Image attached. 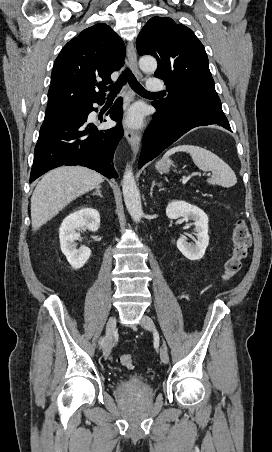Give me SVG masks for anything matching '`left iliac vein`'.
<instances>
[{"label": "left iliac vein", "instance_id": "4c4485c4", "mask_svg": "<svg viewBox=\"0 0 272 452\" xmlns=\"http://www.w3.org/2000/svg\"><path fill=\"white\" fill-rule=\"evenodd\" d=\"M140 325L149 331H155L154 322L148 315L142 317ZM160 359L164 364H167L169 361L168 351L164 346L160 349Z\"/></svg>", "mask_w": 272, "mask_h": 452}]
</instances>
